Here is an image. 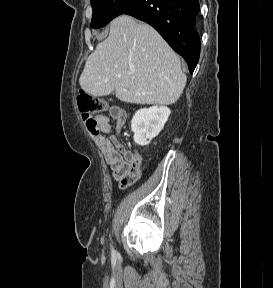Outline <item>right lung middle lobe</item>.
Wrapping results in <instances>:
<instances>
[{
	"label": "right lung middle lobe",
	"instance_id": "1",
	"mask_svg": "<svg viewBox=\"0 0 273 288\" xmlns=\"http://www.w3.org/2000/svg\"><path fill=\"white\" fill-rule=\"evenodd\" d=\"M93 9L91 26L100 28L121 15L136 0H90Z\"/></svg>",
	"mask_w": 273,
	"mask_h": 288
}]
</instances>
